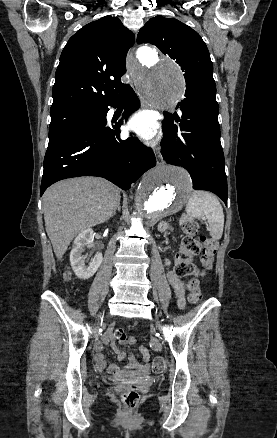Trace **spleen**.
Here are the masks:
<instances>
[{"instance_id": "3e777b00", "label": "spleen", "mask_w": 277, "mask_h": 438, "mask_svg": "<svg viewBox=\"0 0 277 438\" xmlns=\"http://www.w3.org/2000/svg\"><path fill=\"white\" fill-rule=\"evenodd\" d=\"M191 218H202L205 216L209 228L208 232L213 240H220L224 228L223 208L216 196L210 192H192L186 210Z\"/></svg>"}]
</instances>
